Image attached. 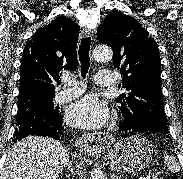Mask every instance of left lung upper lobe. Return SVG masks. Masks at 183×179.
Instances as JSON below:
<instances>
[{
    "instance_id": "5c2ea615",
    "label": "left lung upper lobe",
    "mask_w": 183,
    "mask_h": 179,
    "mask_svg": "<svg viewBox=\"0 0 183 179\" xmlns=\"http://www.w3.org/2000/svg\"><path fill=\"white\" fill-rule=\"evenodd\" d=\"M97 38L113 49V65L123 75L128 93L116 101L125 121L133 128L168 133L161 92L158 46L133 17L114 11L97 30Z\"/></svg>"
}]
</instances>
